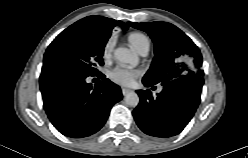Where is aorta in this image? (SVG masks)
<instances>
[{"mask_svg":"<svg viewBox=\"0 0 248 158\" xmlns=\"http://www.w3.org/2000/svg\"><path fill=\"white\" fill-rule=\"evenodd\" d=\"M115 58L125 64H136L138 57L129 49L119 47L114 52ZM125 103L130 107H136L139 104V96L136 92H129L125 96Z\"/></svg>","mask_w":248,"mask_h":158,"instance_id":"1","label":"aorta"}]
</instances>
